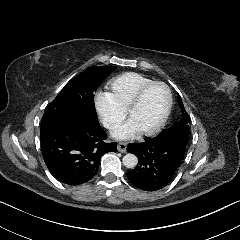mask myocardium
Listing matches in <instances>:
<instances>
[{
	"label": "myocardium",
	"mask_w": 240,
	"mask_h": 240,
	"mask_svg": "<svg viewBox=\"0 0 240 240\" xmlns=\"http://www.w3.org/2000/svg\"><path fill=\"white\" fill-rule=\"evenodd\" d=\"M153 86H161L162 88H164L165 93H166V101H165V106H164L162 116H161L160 120L157 122V124L149 130L141 131V134L143 136H147V137L157 134L162 129V127L165 125V123L168 119V116H169V113H170V110H171V106H172V94H171V90L168 87V85L163 83V82H159V81H152L150 83H147V84L143 85L137 91V93L135 94L133 100L128 105V107L124 110L125 118L129 119L130 115L141 104L142 99H143L145 93L147 92V90L150 89Z\"/></svg>",
	"instance_id": "1"
}]
</instances>
